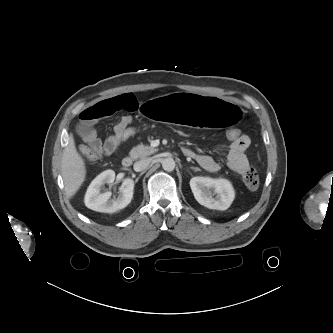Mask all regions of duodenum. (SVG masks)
Masks as SVG:
<instances>
[{"label": "duodenum", "mask_w": 333, "mask_h": 333, "mask_svg": "<svg viewBox=\"0 0 333 333\" xmlns=\"http://www.w3.org/2000/svg\"><path fill=\"white\" fill-rule=\"evenodd\" d=\"M183 152L185 155L190 156L191 152L189 150L183 149ZM133 164V157L132 156H126L122 159V165L125 168L130 167Z\"/></svg>", "instance_id": "1"}]
</instances>
